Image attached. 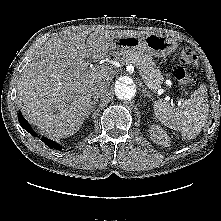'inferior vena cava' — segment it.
I'll list each match as a JSON object with an SVG mask.
<instances>
[{"instance_id":"obj_1","label":"inferior vena cava","mask_w":221,"mask_h":221,"mask_svg":"<svg viewBox=\"0 0 221 221\" xmlns=\"http://www.w3.org/2000/svg\"><path fill=\"white\" fill-rule=\"evenodd\" d=\"M92 91H93L92 96L94 99H96L99 98L100 96H103L107 92V89L103 84H100L95 86Z\"/></svg>"}]
</instances>
